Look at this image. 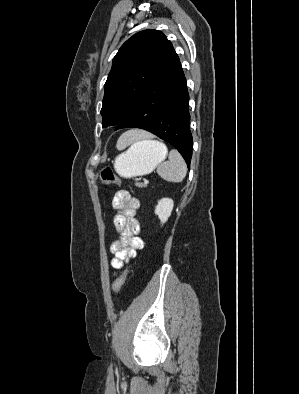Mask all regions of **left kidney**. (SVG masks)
Here are the masks:
<instances>
[{"label": "left kidney", "instance_id": "obj_1", "mask_svg": "<svg viewBox=\"0 0 299 394\" xmlns=\"http://www.w3.org/2000/svg\"><path fill=\"white\" fill-rule=\"evenodd\" d=\"M173 206L174 202L170 198H162L158 201V205L155 208V214L158 216L162 224H164L170 217Z\"/></svg>", "mask_w": 299, "mask_h": 394}]
</instances>
